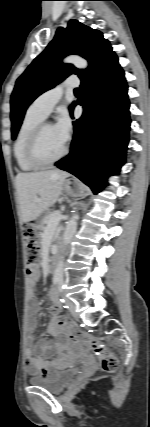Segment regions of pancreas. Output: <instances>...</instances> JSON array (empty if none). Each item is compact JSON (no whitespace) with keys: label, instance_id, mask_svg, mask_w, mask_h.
<instances>
[{"label":"pancreas","instance_id":"1","mask_svg":"<svg viewBox=\"0 0 150 427\" xmlns=\"http://www.w3.org/2000/svg\"><path fill=\"white\" fill-rule=\"evenodd\" d=\"M53 213H54V212L49 213V214H48V215H47V216L42 220V223H41V225L39 226V230H40L39 234H40V236H41V237L44 235V231H45V229L47 228V227H45V224H46V225H47V224H49V222H50V220H51V216H52V214H53ZM60 214H61V212H60ZM58 222H59V221H58ZM58 222H57V223H55V225L53 226V229L57 227Z\"/></svg>","mask_w":150,"mask_h":427}]
</instances>
